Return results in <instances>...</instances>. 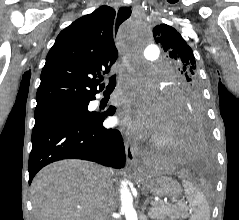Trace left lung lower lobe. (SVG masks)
Instances as JSON below:
<instances>
[{
    "label": "left lung lower lobe",
    "mask_w": 239,
    "mask_h": 220,
    "mask_svg": "<svg viewBox=\"0 0 239 220\" xmlns=\"http://www.w3.org/2000/svg\"><path fill=\"white\" fill-rule=\"evenodd\" d=\"M175 139L174 159L180 164L198 166L211 158V144L204 108H189L171 116Z\"/></svg>",
    "instance_id": "left-lung-lower-lobe-1"
}]
</instances>
